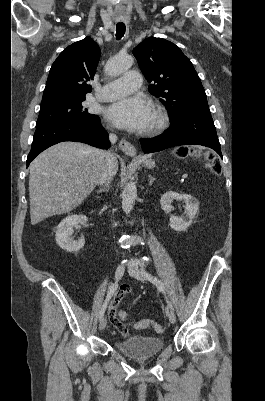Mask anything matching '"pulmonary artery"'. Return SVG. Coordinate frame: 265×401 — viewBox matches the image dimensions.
Instances as JSON below:
<instances>
[{"instance_id":"obj_1","label":"pulmonary artery","mask_w":265,"mask_h":401,"mask_svg":"<svg viewBox=\"0 0 265 401\" xmlns=\"http://www.w3.org/2000/svg\"><path fill=\"white\" fill-rule=\"evenodd\" d=\"M122 72H112L110 82L103 87L99 93V99L103 101H123L125 95H137L141 77L137 72H130L129 75H121ZM119 76L118 78H115Z\"/></svg>"}]
</instances>
